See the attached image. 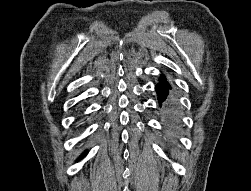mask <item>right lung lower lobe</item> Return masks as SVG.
<instances>
[{
	"label": "right lung lower lobe",
	"mask_w": 251,
	"mask_h": 191,
	"mask_svg": "<svg viewBox=\"0 0 251 191\" xmlns=\"http://www.w3.org/2000/svg\"><path fill=\"white\" fill-rule=\"evenodd\" d=\"M86 154V152H84L83 154H82V156L81 157H79V159H81L84 155Z\"/></svg>",
	"instance_id": "obj_1"
}]
</instances>
